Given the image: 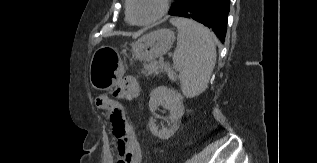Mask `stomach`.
<instances>
[{"label":"stomach","instance_id":"obj_1","mask_svg":"<svg viewBox=\"0 0 317 163\" xmlns=\"http://www.w3.org/2000/svg\"><path fill=\"white\" fill-rule=\"evenodd\" d=\"M174 40L175 34L170 29L152 31L133 44V58L151 61L161 57L170 50ZM123 73V63L113 48L103 46L94 52L90 62L89 77L95 89H111Z\"/></svg>","mask_w":317,"mask_h":163}]
</instances>
